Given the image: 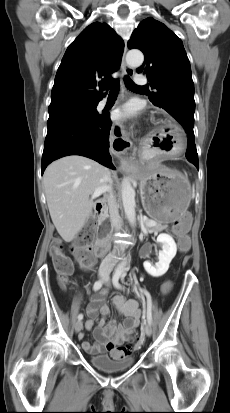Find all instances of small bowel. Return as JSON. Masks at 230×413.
Listing matches in <instances>:
<instances>
[{"label": "small bowel", "mask_w": 230, "mask_h": 413, "mask_svg": "<svg viewBox=\"0 0 230 413\" xmlns=\"http://www.w3.org/2000/svg\"><path fill=\"white\" fill-rule=\"evenodd\" d=\"M174 234L180 235V232L173 228ZM81 263V262H80ZM83 268L88 269L90 265H84ZM107 291L101 290L99 294L91 298L90 304L87 308L88 320L85 327L87 330H91L94 326L95 320L99 314L103 317H107L111 314V310L104 302V296ZM113 305L116 309L125 316L123 324H117L116 321L110 320L105 323V319L102 318L97 327L93 330L95 343L88 341L82 342V348L90 355H99L108 353L114 359H122L127 357L130 352L125 351L126 344L133 333V331L139 326L141 312L139 304L135 300H127L123 296L118 295L112 299ZM80 339L84 338L83 334L79 335Z\"/></svg>", "instance_id": "c3829d8e"}]
</instances>
